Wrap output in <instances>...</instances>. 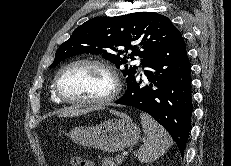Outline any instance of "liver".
Here are the masks:
<instances>
[{
    "label": "liver",
    "instance_id": "1",
    "mask_svg": "<svg viewBox=\"0 0 231 166\" xmlns=\"http://www.w3.org/2000/svg\"><path fill=\"white\" fill-rule=\"evenodd\" d=\"M95 108H86V109H78L77 107H66L64 109L59 110L57 113L60 117H73L86 114L88 112L93 111ZM114 115H120L121 113L111 110L110 111Z\"/></svg>",
    "mask_w": 231,
    "mask_h": 166
}]
</instances>
